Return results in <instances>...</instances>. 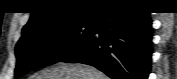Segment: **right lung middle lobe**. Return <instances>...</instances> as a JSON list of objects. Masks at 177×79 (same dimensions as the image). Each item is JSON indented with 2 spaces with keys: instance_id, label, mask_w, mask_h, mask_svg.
I'll list each match as a JSON object with an SVG mask.
<instances>
[{
  "instance_id": "dd1d6c3e",
  "label": "right lung middle lobe",
  "mask_w": 177,
  "mask_h": 79,
  "mask_svg": "<svg viewBox=\"0 0 177 79\" xmlns=\"http://www.w3.org/2000/svg\"><path fill=\"white\" fill-rule=\"evenodd\" d=\"M94 20H76L32 31L18 41L15 77L59 62L90 35Z\"/></svg>"
}]
</instances>
